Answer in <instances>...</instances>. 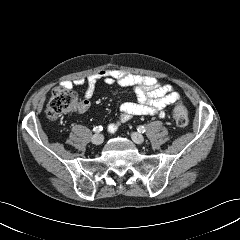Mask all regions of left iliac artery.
Masks as SVG:
<instances>
[{
	"label": "left iliac artery",
	"instance_id": "left-iliac-artery-1",
	"mask_svg": "<svg viewBox=\"0 0 240 240\" xmlns=\"http://www.w3.org/2000/svg\"><path fill=\"white\" fill-rule=\"evenodd\" d=\"M138 132L140 133H144L146 131L145 127L144 126H138L137 128Z\"/></svg>",
	"mask_w": 240,
	"mask_h": 240
}]
</instances>
